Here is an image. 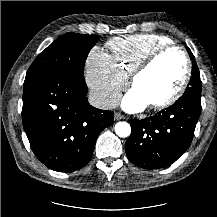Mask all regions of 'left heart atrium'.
I'll use <instances>...</instances> for the list:
<instances>
[{
    "instance_id": "39dd6f15",
    "label": "left heart atrium",
    "mask_w": 217,
    "mask_h": 217,
    "mask_svg": "<svg viewBox=\"0 0 217 217\" xmlns=\"http://www.w3.org/2000/svg\"><path fill=\"white\" fill-rule=\"evenodd\" d=\"M147 104L148 102L134 89L122 101V106L128 111L142 110Z\"/></svg>"
}]
</instances>
